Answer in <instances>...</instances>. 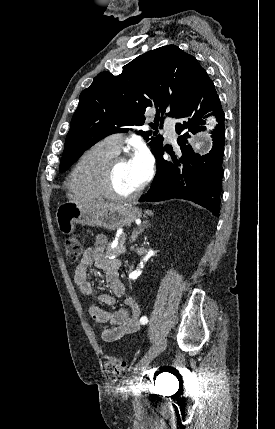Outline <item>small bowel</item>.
Segmentation results:
<instances>
[{"label":"small bowel","instance_id":"c3829d8e","mask_svg":"<svg viewBox=\"0 0 275 429\" xmlns=\"http://www.w3.org/2000/svg\"><path fill=\"white\" fill-rule=\"evenodd\" d=\"M106 240L99 237L96 245L87 248L78 262L74 274V281L79 287L80 293L88 300L93 298V287L87 278V270L90 265L102 270L106 275V282L113 295L101 294L98 296V303L102 306L110 307L116 302V297L125 296L124 287L120 281L116 260L104 257L103 250ZM90 317L103 325L101 337L104 341L112 343L137 332L140 328L139 316L140 308L133 297L124 298V306L115 312H108L99 305L91 302L88 307Z\"/></svg>","mask_w":275,"mask_h":429}]
</instances>
